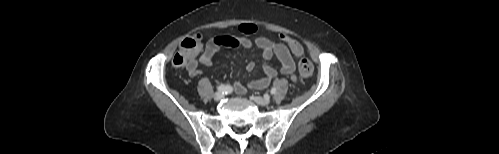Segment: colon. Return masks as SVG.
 <instances>
[{
	"label": "colon",
	"instance_id": "5ec220e1",
	"mask_svg": "<svg viewBox=\"0 0 499 154\" xmlns=\"http://www.w3.org/2000/svg\"><path fill=\"white\" fill-rule=\"evenodd\" d=\"M281 39L287 43L290 50L297 56L300 57L299 60V72L305 77L309 78L313 75V65L311 61L303 56L302 45L293 38L282 35ZM203 48L202 38L199 34H193L186 37L180 44L178 51L175 53L172 63L175 66H183L196 62L197 58L200 56Z\"/></svg>",
	"mask_w": 499,
	"mask_h": 154
}]
</instances>
